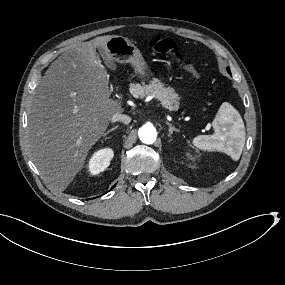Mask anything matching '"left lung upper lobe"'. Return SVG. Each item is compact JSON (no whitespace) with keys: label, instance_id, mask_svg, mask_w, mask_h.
<instances>
[{"label":"left lung upper lobe","instance_id":"1","mask_svg":"<svg viewBox=\"0 0 285 285\" xmlns=\"http://www.w3.org/2000/svg\"><path fill=\"white\" fill-rule=\"evenodd\" d=\"M227 71L231 74V72H230V69H229V68H227Z\"/></svg>","mask_w":285,"mask_h":285}]
</instances>
